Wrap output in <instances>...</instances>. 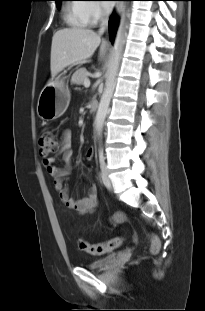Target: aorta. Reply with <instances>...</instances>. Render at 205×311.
<instances>
[{
	"label": "aorta",
	"instance_id": "1",
	"mask_svg": "<svg viewBox=\"0 0 205 311\" xmlns=\"http://www.w3.org/2000/svg\"><path fill=\"white\" fill-rule=\"evenodd\" d=\"M126 6L123 7L119 28L116 33L112 48V56L108 65V70L106 73V82L104 92L102 94L97 114L94 121L95 131L98 136H101L104 127L105 118L109 109V104L115 89L116 77L119 70V65L122 57V52L125 44L126 35V17L127 12L125 10Z\"/></svg>",
	"mask_w": 205,
	"mask_h": 311
}]
</instances>
